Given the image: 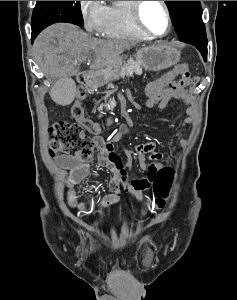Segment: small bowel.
I'll use <instances>...</instances> for the list:
<instances>
[{"label": "small bowel", "instance_id": "obj_1", "mask_svg": "<svg viewBox=\"0 0 237 300\" xmlns=\"http://www.w3.org/2000/svg\"><path fill=\"white\" fill-rule=\"evenodd\" d=\"M175 76V73H168L160 79L149 83L144 91L145 97H148L159 89L172 83L175 79ZM186 87H179L167 91V93L158 103V108L160 110L165 109L172 99L181 100L184 104L190 106L192 103V97L186 90ZM76 121L91 134L98 135L102 131L103 124L95 123L84 117L77 118ZM191 121L192 115H189V117L185 120V123L187 124ZM155 149L156 144L154 142H145L136 145L135 150L138 155L139 164L143 170H146L148 172V174L146 178L141 180H134L132 182L127 181L128 174L125 170L121 157L115 152L113 146L99 147L96 150L97 164L107 168L113 174V177L109 183L110 194L106 195L102 200V207L104 209L109 208L119 201L122 190L131 192L135 196L139 197L140 192L150 186V175L162 168L161 164L159 163L148 162V160L155 161L162 158V154L155 152ZM56 161L62 169L68 171L66 178L67 204L71 208L77 209L81 214H87L85 207L82 204H79L76 200L74 186L87 176L89 171V164H80L75 160V158L66 154L60 155ZM100 221L101 217H98L94 225L97 226Z\"/></svg>", "mask_w": 237, "mask_h": 300}]
</instances>
